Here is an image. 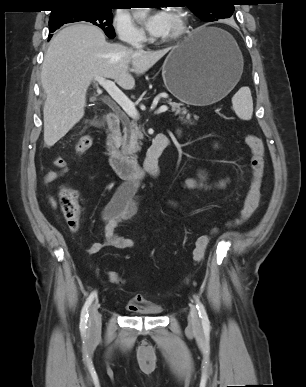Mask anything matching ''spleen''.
Masks as SVG:
<instances>
[{
    "instance_id": "obj_1",
    "label": "spleen",
    "mask_w": 306,
    "mask_h": 387,
    "mask_svg": "<svg viewBox=\"0 0 306 387\" xmlns=\"http://www.w3.org/2000/svg\"><path fill=\"white\" fill-rule=\"evenodd\" d=\"M233 110L242 120H250L253 114V100L249 87H241L232 97Z\"/></svg>"
}]
</instances>
